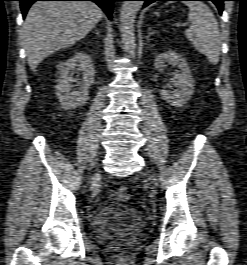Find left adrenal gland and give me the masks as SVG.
I'll return each mask as SVG.
<instances>
[{"instance_id":"a2214340","label":"left adrenal gland","mask_w":247,"mask_h":265,"mask_svg":"<svg viewBox=\"0 0 247 265\" xmlns=\"http://www.w3.org/2000/svg\"><path fill=\"white\" fill-rule=\"evenodd\" d=\"M154 33H157V31H152V28L151 27H149L148 28V36H147V38H149L151 35H153Z\"/></svg>"}]
</instances>
